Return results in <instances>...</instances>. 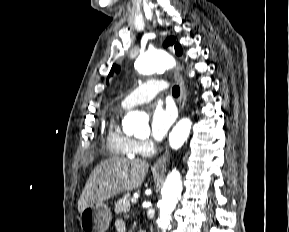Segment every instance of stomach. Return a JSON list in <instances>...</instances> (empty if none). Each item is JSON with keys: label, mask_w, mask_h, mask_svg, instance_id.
I'll list each match as a JSON object with an SVG mask.
<instances>
[{"label": "stomach", "mask_w": 289, "mask_h": 232, "mask_svg": "<svg viewBox=\"0 0 289 232\" xmlns=\"http://www.w3.org/2000/svg\"><path fill=\"white\" fill-rule=\"evenodd\" d=\"M83 232H106L111 221V211L104 203L91 204L79 217Z\"/></svg>", "instance_id": "1"}]
</instances>
